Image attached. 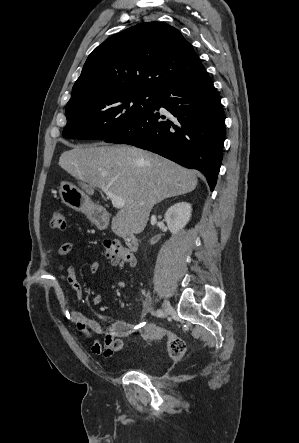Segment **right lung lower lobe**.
<instances>
[{
  "instance_id": "obj_1",
  "label": "right lung lower lobe",
  "mask_w": 299,
  "mask_h": 443,
  "mask_svg": "<svg viewBox=\"0 0 299 443\" xmlns=\"http://www.w3.org/2000/svg\"><path fill=\"white\" fill-rule=\"evenodd\" d=\"M224 131L219 95L203 69L161 88L150 111L104 141L134 145L197 169L213 190L222 161Z\"/></svg>"
}]
</instances>
